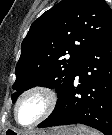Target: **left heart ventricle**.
I'll return each instance as SVG.
<instances>
[{
    "mask_svg": "<svg viewBox=\"0 0 112 135\" xmlns=\"http://www.w3.org/2000/svg\"><path fill=\"white\" fill-rule=\"evenodd\" d=\"M46 108V100L40 94L25 97L17 109V118L22 124H30L37 120Z\"/></svg>",
    "mask_w": 112,
    "mask_h": 135,
    "instance_id": "left-heart-ventricle-1",
    "label": "left heart ventricle"
}]
</instances>
